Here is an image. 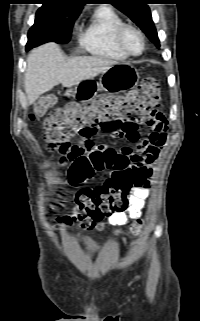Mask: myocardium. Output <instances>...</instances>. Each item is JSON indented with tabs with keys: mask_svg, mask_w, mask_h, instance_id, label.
I'll use <instances>...</instances> for the list:
<instances>
[{
	"mask_svg": "<svg viewBox=\"0 0 200 321\" xmlns=\"http://www.w3.org/2000/svg\"><path fill=\"white\" fill-rule=\"evenodd\" d=\"M127 30H133L140 37V40L142 43V48H141L140 52H138V53L130 52L126 48V46L124 45L123 38H124V34ZM115 42H116V45L118 46V48L128 57L140 56L144 52L145 47H146V41H145V36H144L143 32L137 26L130 24V23H123L121 26L118 27V29L115 33Z\"/></svg>",
	"mask_w": 200,
	"mask_h": 321,
	"instance_id": "myocardium-1",
	"label": "myocardium"
}]
</instances>
